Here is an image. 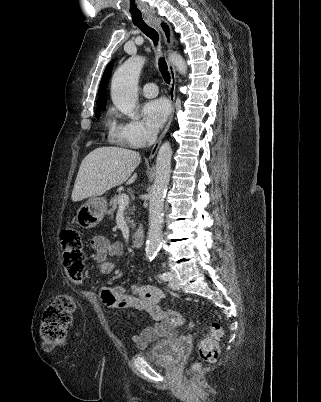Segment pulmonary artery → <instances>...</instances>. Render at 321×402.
Masks as SVG:
<instances>
[{
    "instance_id": "obj_1",
    "label": "pulmonary artery",
    "mask_w": 321,
    "mask_h": 402,
    "mask_svg": "<svg viewBox=\"0 0 321 402\" xmlns=\"http://www.w3.org/2000/svg\"><path fill=\"white\" fill-rule=\"evenodd\" d=\"M142 93L145 97L152 98L158 95L159 90L155 83H147L143 85Z\"/></svg>"
}]
</instances>
